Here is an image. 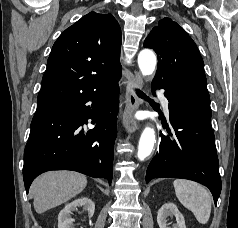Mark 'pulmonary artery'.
I'll return each mask as SVG.
<instances>
[{
    "label": "pulmonary artery",
    "instance_id": "pulmonary-artery-1",
    "mask_svg": "<svg viewBox=\"0 0 238 228\" xmlns=\"http://www.w3.org/2000/svg\"><path fill=\"white\" fill-rule=\"evenodd\" d=\"M162 101H163L164 109H165L166 113H168V111H169L168 101L165 97H162Z\"/></svg>",
    "mask_w": 238,
    "mask_h": 228
}]
</instances>
